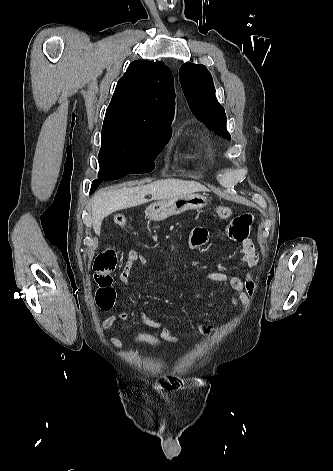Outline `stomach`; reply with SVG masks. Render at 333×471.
I'll use <instances>...</instances> for the list:
<instances>
[{
    "label": "stomach",
    "instance_id": "0dacf381",
    "mask_svg": "<svg viewBox=\"0 0 333 471\" xmlns=\"http://www.w3.org/2000/svg\"><path fill=\"white\" fill-rule=\"evenodd\" d=\"M207 202L208 200L204 195H181L151 204L146 209V216L151 221H161L170 216L179 215L187 210L202 209L207 205Z\"/></svg>",
    "mask_w": 333,
    "mask_h": 471
}]
</instances>
